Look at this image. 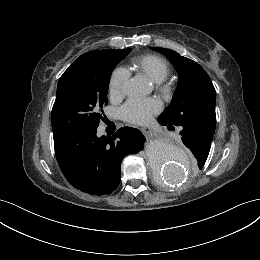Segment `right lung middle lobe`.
Masks as SVG:
<instances>
[{"label":"right lung middle lobe","mask_w":260,"mask_h":260,"mask_svg":"<svg viewBox=\"0 0 260 260\" xmlns=\"http://www.w3.org/2000/svg\"><path fill=\"white\" fill-rule=\"evenodd\" d=\"M129 49L81 55L60 77L52 109L53 135L98 127L111 73Z\"/></svg>","instance_id":"1"}]
</instances>
